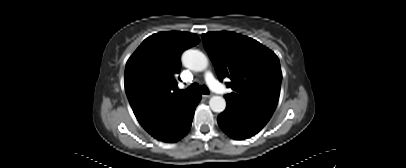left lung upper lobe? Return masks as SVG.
I'll use <instances>...</instances> for the list:
<instances>
[{
    "label": "left lung upper lobe",
    "instance_id": "left-lung-upper-lobe-1",
    "mask_svg": "<svg viewBox=\"0 0 406 168\" xmlns=\"http://www.w3.org/2000/svg\"><path fill=\"white\" fill-rule=\"evenodd\" d=\"M218 79L229 78L232 93L225 99L273 114L279 99L282 73L278 57L251 38L234 32L202 35Z\"/></svg>",
    "mask_w": 406,
    "mask_h": 168
}]
</instances>
